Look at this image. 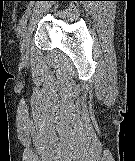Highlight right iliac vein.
Here are the masks:
<instances>
[{"mask_svg": "<svg viewBox=\"0 0 135 161\" xmlns=\"http://www.w3.org/2000/svg\"><path fill=\"white\" fill-rule=\"evenodd\" d=\"M30 34L28 31H25V33L22 36L21 40V53L22 56L27 59L28 58V43H29Z\"/></svg>", "mask_w": 135, "mask_h": 161, "instance_id": "1", "label": "right iliac vein"}]
</instances>
